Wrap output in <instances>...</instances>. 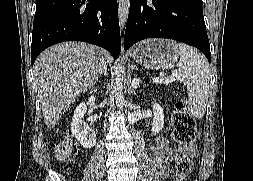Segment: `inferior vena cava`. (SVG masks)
I'll return each instance as SVG.
<instances>
[{"mask_svg": "<svg viewBox=\"0 0 253 181\" xmlns=\"http://www.w3.org/2000/svg\"><path fill=\"white\" fill-rule=\"evenodd\" d=\"M107 118H110V112H107Z\"/></svg>", "mask_w": 253, "mask_h": 181, "instance_id": "602c4592", "label": "inferior vena cava"}]
</instances>
